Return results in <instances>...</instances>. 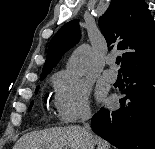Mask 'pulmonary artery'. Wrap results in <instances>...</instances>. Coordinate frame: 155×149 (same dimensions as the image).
<instances>
[{"mask_svg":"<svg viewBox=\"0 0 155 149\" xmlns=\"http://www.w3.org/2000/svg\"><path fill=\"white\" fill-rule=\"evenodd\" d=\"M107 63L110 66H114L115 59L113 57H109ZM103 75L110 82H115L117 80V72L114 69L105 70Z\"/></svg>","mask_w":155,"mask_h":149,"instance_id":"obj_1","label":"pulmonary artery"}]
</instances>
